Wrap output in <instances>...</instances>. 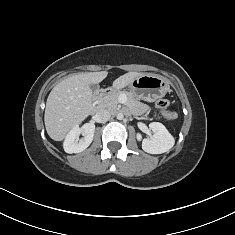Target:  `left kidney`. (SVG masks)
<instances>
[{
  "label": "left kidney",
  "instance_id": "1",
  "mask_svg": "<svg viewBox=\"0 0 235 235\" xmlns=\"http://www.w3.org/2000/svg\"><path fill=\"white\" fill-rule=\"evenodd\" d=\"M149 128L153 131L151 138L142 140V149L150 154H161L170 150L174 145V138L168 132L166 127L159 122H152ZM137 139H141V135L137 134Z\"/></svg>",
  "mask_w": 235,
  "mask_h": 235
}]
</instances>
